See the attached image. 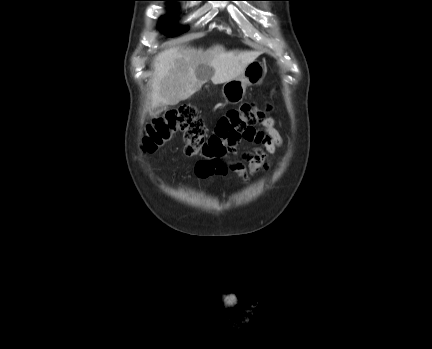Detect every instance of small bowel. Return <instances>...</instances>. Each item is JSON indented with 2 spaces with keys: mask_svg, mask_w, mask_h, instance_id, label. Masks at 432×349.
<instances>
[{
  "mask_svg": "<svg viewBox=\"0 0 432 349\" xmlns=\"http://www.w3.org/2000/svg\"><path fill=\"white\" fill-rule=\"evenodd\" d=\"M261 129H253L252 135L245 139L255 147L242 155L239 160L224 162V169L218 170L210 165L198 161L195 165V173L199 178L205 179L211 176H221L228 171L235 173L242 181L249 180L250 175L258 174L269 167L270 155H273L282 145L283 140L275 127V120L266 117L260 122Z\"/></svg>",
  "mask_w": 432,
  "mask_h": 349,
  "instance_id": "obj_1",
  "label": "small bowel"
}]
</instances>
